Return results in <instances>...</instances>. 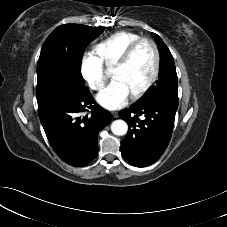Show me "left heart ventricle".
<instances>
[{"mask_svg":"<svg viewBox=\"0 0 227 227\" xmlns=\"http://www.w3.org/2000/svg\"><path fill=\"white\" fill-rule=\"evenodd\" d=\"M154 68V52L148 43L141 44L130 62L123 68H113L112 77L121 81L130 95L141 89L149 80Z\"/></svg>","mask_w":227,"mask_h":227,"instance_id":"b2bd125f","label":"left heart ventricle"}]
</instances>
